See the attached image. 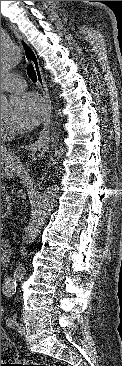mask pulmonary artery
Listing matches in <instances>:
<instances>
[{"mask_svg": "<svg viewBox=\"0 0 122 366\" xmlns=\"http://www.w3.org/2000/svg\"><path fill=\"white\" fill-rule=\"evenodd\" d=\"M26 87L25 81L16 74H6L1 76V90L8 92H18Z\"/></svg>", "mask_w": 122, "mask_h": 366, "instance_id": "1", "label": "pulmonary artery"}]
</instances>
